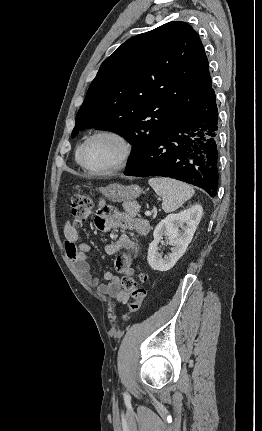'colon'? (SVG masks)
Segmentation results:
<instances>
[{
	"label": "colon",
	"instance_id": "colon-1",
	"mask_svg": "<svg viewBox=\"0 0 262 431\" xmlns=\"http://www.w3.org/2000/svg\"><path fill=\"white\" fill-rule=\"evenodd\" d=\"M92 212V202L90 197L82 190L77 189L70 198V216L75 227H82ZM113 208L107 206L104 208L105 214H111ZM147 275L139 274L137 277L125 276L121 280V289L129 297L128 311L123 315L124 320L138 312L142 302L147 295V290L140 285L147 281Z\"/></svg>",
	"mask_w": 262,
	"mask_h": 431
}]
</instances>
